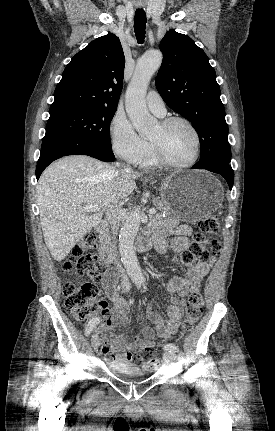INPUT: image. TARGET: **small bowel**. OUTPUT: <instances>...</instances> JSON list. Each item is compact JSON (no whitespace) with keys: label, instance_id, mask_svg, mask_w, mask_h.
Returning a JSON list of instances; mask_svg holds the SVG:
<instances>
[{"label":"small bowel","instance_id":"c3829d8e","mask_svg":"<svg viewBox=\"0 0 275 431\" xmlns=\"http://www.w3.org/2000/svg\"><path fill=\"white\" fill-rule=\"evenodd\" d=\"M153 242L159 253H165L169 246L165 234L173 237L170 246L175 252H183L189 247V237L192 228L187 224H179L175 218H168L153 229ZM214 259L196 264L188 269L187 277L172 276L167 281V289L172 293L170 303L166 307V317L162 319L157 312L148 307L145 316L152 327H143L135 337L127 334L110 332L116 325H125L128 322L129 305L117 291L118 274L113 270L107 271L102 279V287L107 297L112 301L113 307L103 312L104 324L98 328L101 334V351L109 363L136 362L138 354L155 345V335L160 339H170L177 331L185 307V298L196 293L201 280L205 277Z\"/></svg>","mask_w":275,"mask_h":431}]
</instances>
